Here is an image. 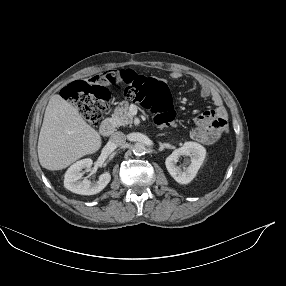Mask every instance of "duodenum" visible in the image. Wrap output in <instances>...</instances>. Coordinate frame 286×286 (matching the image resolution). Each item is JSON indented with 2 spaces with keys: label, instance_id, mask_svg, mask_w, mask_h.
<instances>
[{
  "label": "duodenum",
  "instance_id": "410a0bca",
  "mask_svg": "<svg viewBox=\"0 0 286 286\" xmlns=\"http://www.w3.org/2000/svg\"><path fill=\"white\" fill-rule=\"evenodd\" d=\"M115 131V123L111 119H105L100 127V132L103 136L109 137Z\"/></svg>",
  "mask_w": 286,
  "mask_h": 286
}]
</instances>
